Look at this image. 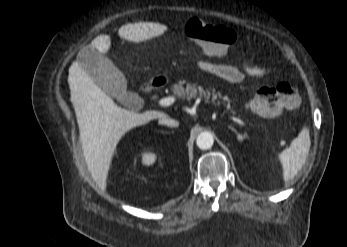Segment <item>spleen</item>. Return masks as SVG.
<instances>
[{"label": "spleen", "instance_id": "spleen-1", "mask_svg": "<svg viewBox=\"0 0 347 247\" xmlns=\"http://www.w3.org/2000/svg\"><path fill=\"white\" fill-rule=\"evenodd\" d=\"M310 145L309 129L303 128L291 145L278 154L285 182L291 180L302 168L309 154Z\"/></svg>", "mask_w": 347, "mask_h": 247}]
</instances>
